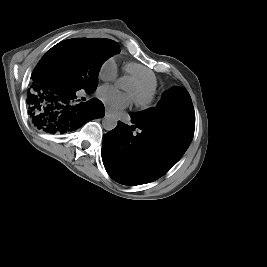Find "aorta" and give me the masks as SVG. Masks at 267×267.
Listing matches in <instances>:
<instances>
[{
  "mask_svg": "<svg viewBox=\"0 0 267 267\" xmlns=\"http://www.w3.org/2000/svg\"><path fill=\"white\" fill-rule=\"evenodd\" d=\"M126 77H122L118 80L117 85L120 89L125 88ZM103 128L107 131L113 130L117 126V118L114 115L107 114L102 119Z\"/></svg>",
  "mask_w": 267,
  "mask_h": 267,
  "instance_id": "obj_1",
  "label": "aorta"
}]
</instances>
